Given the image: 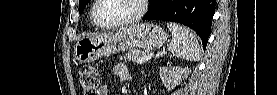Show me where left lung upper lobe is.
<instances>
[{"label":"left lung upper lobe","mask_w":277,"mask_h":95,"mask_svg":"<svg viewBox=\"0 0 277 95\" xmlns=\"http://www.w3.org/2000/svg\"><path fill=\"white\" fill-rule=\"evenodd\" d=\"M89 0H79V13L81 14ZM152 2V1H151Z\"/></svg>","instance_id":"1"}]
</instances>
